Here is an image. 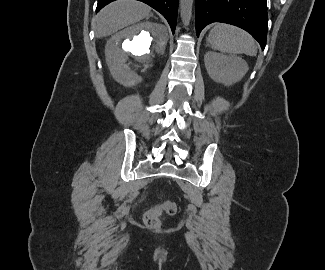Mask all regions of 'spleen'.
Wrapping results in <instances>:
<instances>
[{
    "label": "spleen",
    "mask_w": 325,
    "mask_h": 270,
    "mask_svg": "<svg viewBox=\"0 0 325 270\" xmlns=\"http://www.w3.org/2000/svg\"><path fill=\"white\" fill-rule=\"evenodd\" d=\"M212 49L230 54L256 56L257 45L251 35L244 30L228 25L218 24L211 29L208 38Z\"/></svg>",
    "instance_id": "spleen-1"
}]
</instances>
